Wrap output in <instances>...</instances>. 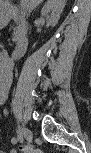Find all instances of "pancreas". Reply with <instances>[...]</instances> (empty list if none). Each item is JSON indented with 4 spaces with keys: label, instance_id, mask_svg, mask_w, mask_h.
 I'll return each instance as SVG.
<instances>
[{
    "label": "pancreas",
    "instance_id": "pancreas-1",
    "mask_svg": "<svg viewBox=\"0 0 91 153\" xmlns=\"http://www.w3.org/2000/svg\"><path fill=\"white\" fill-rule=\"evenodd\" d=\"M21 24H19L16 28H14V32H13V41H17V37H18V32L21 30Z\"/></svg>",
    "mask_w": 91,
    "mask_h": 153
}]
</instances>
